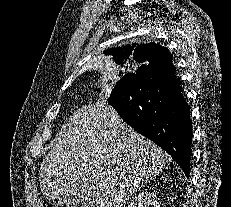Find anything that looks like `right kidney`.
<instances>
[{"label": "right kidney", "mask_w": 231, "mask_h": 207, "mask_svg": "<svg viewBox=\"0 0 231 207\" xmlns=\"http://www.w3.org/2000/svg\"><path fill=\"white\" fill-rule=\"evenodd\" d=\"M128 207H160V204L155 192H145L135 197Z\"/></svg>", "instance_id": "ca27d5eb"}]
</instances>
